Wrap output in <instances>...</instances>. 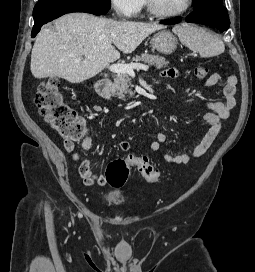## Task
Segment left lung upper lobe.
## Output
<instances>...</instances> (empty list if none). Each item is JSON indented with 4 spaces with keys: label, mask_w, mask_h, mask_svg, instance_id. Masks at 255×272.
Masks as SVG:
<instances>
[{
    "label": "left lung upper lobe",
    "mask_w": 255,
    "mask_h": 272,
    "mask_svg": "<svg viewBox=\"0 0 255 272\" xmlns=\"http://www.w3.org/2000/svg\"><path fill=\"white\" fill-rule=\"evenodd\" d=\"M194 2V8H198L201 5L208 3V2H219L222 3V0H193Z\"/></svg>",
    "instance_id": "obj_1"
}]
</instances>
